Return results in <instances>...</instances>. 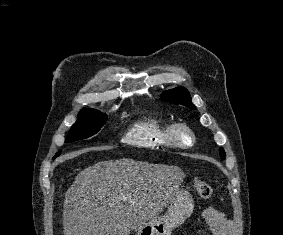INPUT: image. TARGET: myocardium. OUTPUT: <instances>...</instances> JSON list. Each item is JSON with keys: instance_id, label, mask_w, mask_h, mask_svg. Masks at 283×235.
<instances>
[{"instance_id": "myocardium-1", "label": "myocardium", "mask_w": 283, "mask_h": 235, "mask_svg": "<svg viewBox=\"0 0 283 235\" xmlns=\"http://www.w3.org/2000/svg\"><path fill=\"white\" fill-rule=\"evenodd\" d=\"M170 139L174 146L188 148L195 143L193 130L185 123H175L170 129Z\"/></svg>"}]
</instances>
